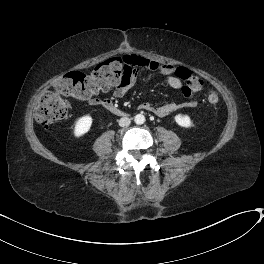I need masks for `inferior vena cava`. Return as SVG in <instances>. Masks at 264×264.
I'll use <instances>...</instances> for the list:
<instances>
[{
  "label": "inferior vena cava",
  "instance_id": "602c4592",
  "mask_svg": "<svg viewBox=\"0 0 264 264\" xmlns=\"http://www.w3.org/2000/svg\"><path fill=\"white\" fill-rule=\"evenodd\" d=\"M118 123H119V126L126 127L130 125L131 120L128 117H123L119 119Z\"/></svg>",
  "mask_w": 264,
  "mask_h": 264
}]
</instances>
